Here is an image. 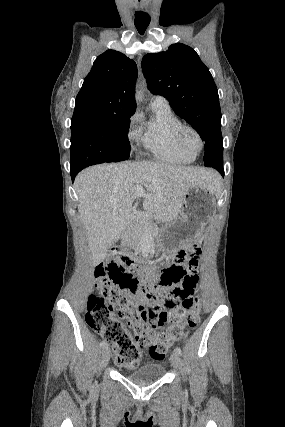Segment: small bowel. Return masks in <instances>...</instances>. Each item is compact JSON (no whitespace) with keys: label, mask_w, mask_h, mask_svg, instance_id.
<instances>
[{"label":"small bowel","mask_w":285,"mask_h":427,"mask_svg":"<svg viewBox=\"0 0 285 427\" xmlns=\"http://www.w3.org/2000/svg\"><path fill=\"white\" fill-rule=\"evenodd\" d=\"M200 253L199 249H196V254L190 259L189 266L187 267L188 273L194 275L197 274V264H198V254ZM179 294L173 295L169 291L164 292L157 300L152 302V308L147 312V322L150 325H154L158 328L163 327L165 325V321L163 320V315H165L169 311L170 303L178 299L183 289L182 287H178ZM193 288L189 290V294H191Z\"/></svg>","instance_id":"obj_1"}]
</instances>
